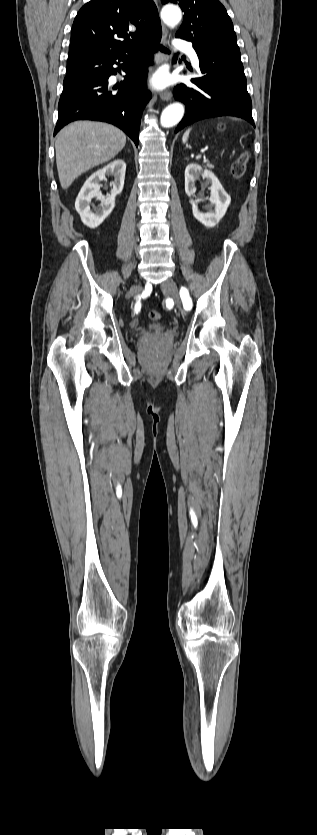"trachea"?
<instances>
[{
	"label": "trachea",
	"mask_w": 317,
	"mask_h": 835,
	"mask_svg": "<svg viewBox=\"0 0 317 835\" xmlns=\"http://www.w3.org/2000/svg\"><path fill=\"white\" fill-rule=\"evenodd\" d=\"M160 50L164 53H169L170 51L163 46H160Z\"/></svg>",
	"instance_id": "obj_1"
}]
</instances>
